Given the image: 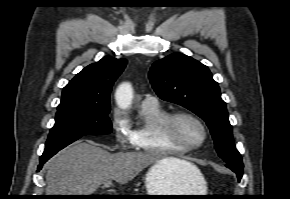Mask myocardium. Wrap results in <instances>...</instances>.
Masks as SVG:
<instances>
[{
	"instance_id": "myocardium-1",
	"label": "myocardium",
	"mask_w": 290,
	"mask_h": 199,
	"mask_svg": "<svg viewBox=\"0 0 290 199\" xmlns=\"http://www.w3.org/2000/svg\"><path fill=\"white\" fill-rule=\"evenodd\" d=\"M181 118L190 119L200 126L203 132V137L199 143L192 145L186 144L174 134L173 132L174 124L177 120ZM160 134L161 136L166 137L165 140L169 146L177 148L183 152H190L202 147L208 138V130L204 122L195 114L187 111H176L170 113L160 126Z\"/></svg>"
}]
</instances>
